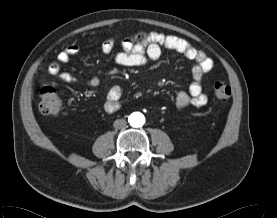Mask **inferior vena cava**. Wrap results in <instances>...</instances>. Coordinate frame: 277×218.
<instances>
[{
  "instance_id": "1",
  "label": "inferior vena cava",
  "mask_w": 277,
  "mask_h": 218,
  "mask_svg": "<svg viewBox=\"0 0 277 218\" xmlns=\"http://www.w3.org/2000/svg\"><path fill=\"white\" fill-rule=\"evenodd\" d=\"M126 124H127V122L125 119H117L114 121L113 126L116 129H123V128H125Z\"/></svg>"
}]
</instances>
